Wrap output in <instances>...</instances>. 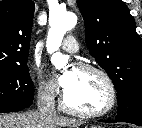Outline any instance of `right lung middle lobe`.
<instances>
[{
  "instance_id": "obj_1",
  "label": "right lung middle lobe",
  "mask_w": 142,
  "mask_h": 128,
  "mask_svg": "<svg viewBox=\"0 0 142 128\" xmlns=\"http://www.w3.org/2000/svg\"><path fill=\"white\" fill-rule=\"evenodd\" d=\"M33 97V82L27 65L0 67V105L29 107Z\"/></svg>"
}]
</instances>
